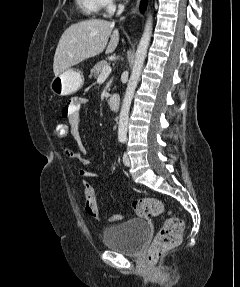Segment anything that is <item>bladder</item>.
<instances>
[{
    "mask_svg": "<svg viewBox=\"0 0 240 287\" xmlns=\"http://www.w3.org/2000/svg\"><path fill=\"white\" fill-rule=\"evenodd\" d=\"M150 235L146 220L133 218L114 226L106 227L103 232L105 247L129 256L139 255Z\"/></svg>",
    "mask_w": 240,
    "mask_h": 287,
    "instance_id": "31cf9c89",
    "label": "bladder"
}]
</instances>
